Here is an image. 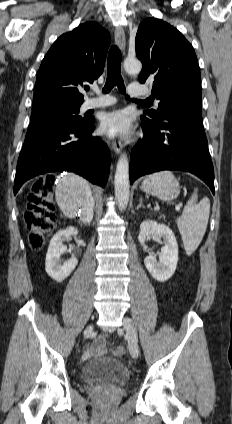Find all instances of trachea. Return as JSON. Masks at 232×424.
<instances>
[{
	"label": "trachea",
	"instance_id": "trachea-1",
	"mask_svg": "<svg viewBox=\"0 0 232 424\" xmlns=\"http://www.w3.org/2000/svg\"><path fill=\"white\" fill-rule=\"evenodd\" d=\"M114 86H117L121 93H125V86L121 76V51L115 45H113L109 50L107 62V80L103 91L108 93ZM138 102L145 104L150 103L149 100H139Z\"/></svg>",
	"mask_w": 232,
	"mask_h": 424
}]
</instances>
